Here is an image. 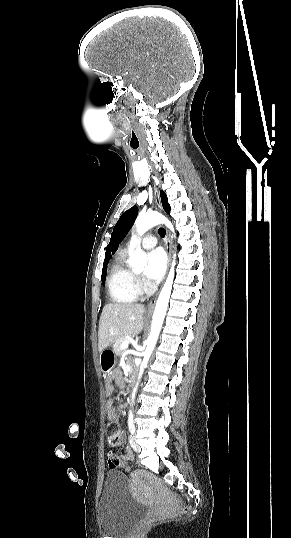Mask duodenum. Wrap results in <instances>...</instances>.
Segmentation results:
<instances>
[{"label": "duodenum", "instance_id": "duodenum-1", "mask_svg": "<svg viewBox=\"0 0 291 538\" xmlns=\"http://www.w3.org/2000/svg\"><path fill=\"white\" fill-rule=\"evenodd\" d=\"M137 377H138V374H137L136 372H133V373L131 374L130 379L133 381V380L136 379Z\"/></svg>", "mask_w": 291, "mask_h": 538}]
</instances>
